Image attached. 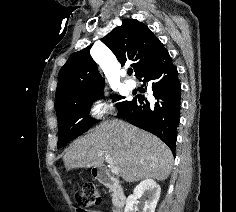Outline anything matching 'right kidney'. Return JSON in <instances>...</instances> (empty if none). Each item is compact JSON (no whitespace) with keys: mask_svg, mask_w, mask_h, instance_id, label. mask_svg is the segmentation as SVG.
Wrapping results in <instances>:
<instances>
[{"mask_svg":"<svg viewBox=\"0 0 236 212\" xmlns=\"http://www.w3.org/2000/svg\"><path fill=\"white\" fill-rule=\"evenodd\" d=\"M160 192L161 188L154 180L146 179L141 181L135 187L133 194L128 196L124 212H135L136 208L134 207V204L137 199H140L142 196L146 197L143 212H155Z\"/></svg>","mask_w":236,"mask_h":212,"instance_id":"1","label":"right kidney"}]
</instances>
